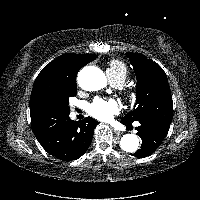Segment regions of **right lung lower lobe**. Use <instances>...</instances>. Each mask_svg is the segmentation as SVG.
<instances>
[{"instance_id":"98d812e1","label":"right lung lower lobe","mask_w":200,"mask_h":200,"mask_svg":"<svg viewBox=\"0 0 200 200\" xmlns=\"http://www.w3.org/2000/svg\"><path fill=\"white\" fill-rule=\"evenodd\" d=\"M97 121L91 117L77 123L68 114H53L31 120L32 130L42 147L52 156L75 160L89 148Z\"/></svg>"}]
</instances>
